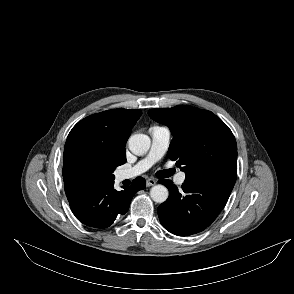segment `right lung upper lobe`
Segmentation results:
<instances>
[{
    "instance_id": "cb5924a9",
    "label": "right lung upper lobe",
    "mask_w": 294,
    "mask_h": 294,
    "mask_svg": "<svg viewBox=\"0 0 294 294\" xmlns=\"http://www.w3.org/2000/svg\"><path fill=\"white\" fill-rule=\"evenodd\" d=\"M139 109H114L90 115L70 131L64 148V168L79 154L109 157L117 166L126 162L125 144L141 116ZM64 188L72 187L64 175Z\"/></svg>"
}]
</instances>
